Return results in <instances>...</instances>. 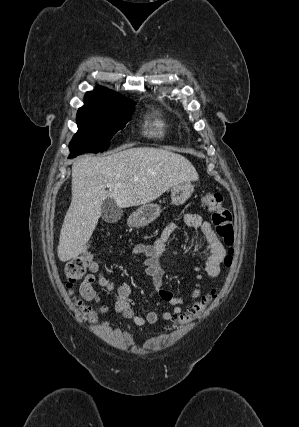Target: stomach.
Segmentation results:
<instances>
[{"label":"stomach","instance_id":"1","mask_svg":"<svg viewBox=\"0 0 299 427\" xmlns=\"http://www.w3.org/2000/svg\"><path fill=\"white\" fill-rule=\"evenodd\" d=\"M194 185L191 182L176 184L171 189V201L175 206L184 204L192 195ZM161 208L157 204L148 203L139 207L129 217V224L134 227H142L153 222L160 216Z\"/></svg>","mask_w":299,"mask_h":427}]
</instances>
